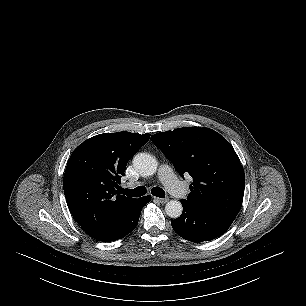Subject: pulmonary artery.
I'll return each instance as SVG.
<instances>
[{
    "instance_id": "obj_1",
    "label": "pulmonary artery",
    "mask_w": 306,
    "mask_h": 306,
    "mask_svg": "<svg viewBox=\"0 0 306 306\" xmlns=\"http://www.w3.org/2000/svg\"><path fill=\"white\" fill-rule=\"evenodd\" d=\"M159 178L171 194L177 198L185 197L187 191L184 185L175 176L172 168L169 165L164 164L160 166Z\"/></svg>"
}]
</instances>
